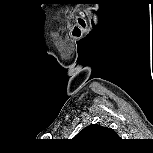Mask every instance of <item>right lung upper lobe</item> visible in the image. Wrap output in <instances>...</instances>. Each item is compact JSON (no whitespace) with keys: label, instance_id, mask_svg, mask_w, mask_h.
<instances>
[{"label":"right lung upper lobe","instance_id":"1","mask_svg":"<svg viewBox=\"0 0 153 153\" xmlns=\"http://www.w3.org/2000/svg\"><path fill=\"white\" fill-rule=\"evenodd\" d=\"M73 139L79 143L92 144L119 139V136L111 128L92 124L81 130Z\"/></svg>","mask_w":153,"mask_h":153}]
</instances>
